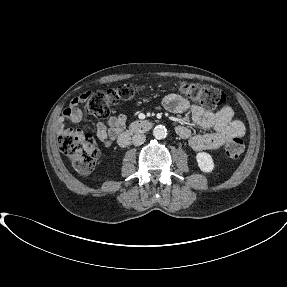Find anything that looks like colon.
<instances>
[{
    "label": "colon",
    "instance_id": "colon-1",
    "mask_svg": "<svg viewBox=\"0 0 287 287\" xmlns=\"http://www.w3.org/2000/svg\"><path fill=\"white\" fill-rule=\"evenodd\" d=\"M140 91H142L140 85L132 84H123L107 91H97L88 97L85 109L97 118H104L111 108L129 102ZM179 93L207 109L221 107L227 101V96L222 90L210 85L184 83L180 86ZM59 148L80 174L92 172L99 157V150L91 135L81 130L62 133L59 137ZM243 150V140L238 136L229 139L224 146L225 155L230 160H237Z\"/></svg>",
    "mask_w": 287,
    "mask_h": 287
}]
</instances>
